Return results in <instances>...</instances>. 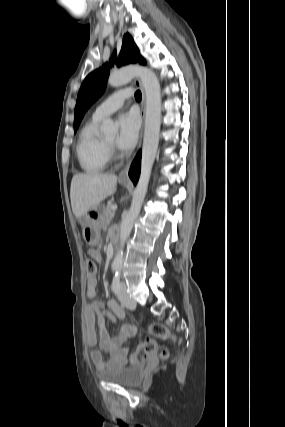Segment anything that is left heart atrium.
I'll return each instance as SVG.
<instances>
[{"instance_id":"1","label":"left heart atrium","mask_w":285,"mask_h":427,"mask_svg":"<svg viewBox=\"0 0 285 427\" xmlns=\"http://www.w3.org/2000/svg\"><path fill=\"white\" fill-rule=\"evenodd\" d=\"M119 135L116 144L119 149L128 151L136 144L140 121L138 116L133 112L124 113L119 117Z\"/></svg>"}]
</instances>
